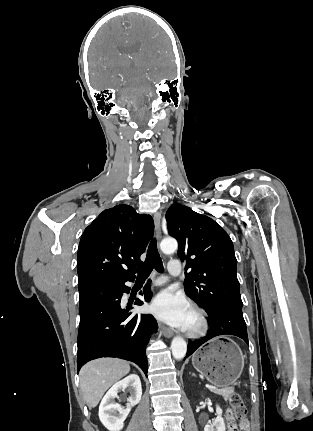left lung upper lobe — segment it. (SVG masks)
Wrapping results in <instances>:
<instances>
[{
	"label": "left lung upper lobe",
	"mask_w": 313,
	"mask_h": 431,
	"mask_svg": "<svg viewBox=\"0 0 313 431\" xmlns=\"http://www.w3.org/2000/svg\"><path fill=\"white\" fill-rule=\"evenodd\" d=\"M178 256L186 261L185 293L208 315L224 308L242 309L233 243L213 219L191 208L172 205L166 213Z\"/></svg>",
	"instance_id": "obj_1"
}]
</instances>
